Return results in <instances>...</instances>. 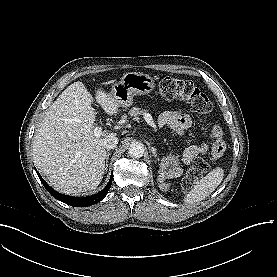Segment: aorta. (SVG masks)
I'll use <instances>...</instances> for the list:
<instances>
[{"label":"aorta","instance_id":"1","mask_svg":"<svg viewBox=\"0 0 277 277\" xmlns=\"http://www.w3.org/2000/svg\"><path fill=\"white\" fill-rule=\"evenodd\" d=\"M144 151H145L144 144L138 141L131 143L128 148V154L133 158L142 157L144 154Z\"/></svg>","mask_w":277,"mask_h":277}]
</instances>
